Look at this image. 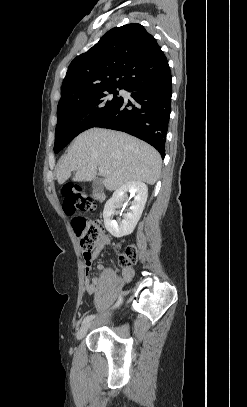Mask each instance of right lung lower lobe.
<instances>
[{
  "mask_svg": "<svg viewBox=\"0 0 247 407\" xmlns=\"http://www.w3.org/2000/svg\"><path fill=\"white\" fill-rule=\"evenodd\" d=\"M171 71L161 65L135 75L123 89L131 92L132 104L124 99L94 127L129 133L155 147L165 156V142L171 112ZM131 106V109L127 107Z\"/></svg>",
  "mask_w": 247,
  "mask_h": 407,
  "instance_id": "98d812e1",
  "label": "right lung lower lobe"
}]
</instances>
